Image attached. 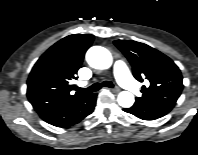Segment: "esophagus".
<instances>
[{
    "label": "esophagus",
    "instance_id": "obj_1",
    "mask_svg": "<svg viewBox=\"0 0 198 155\" xmlns=\"http://www.w3.org/2000/svg\"><path fill=\"white\" fill-rule=\"evenodd\" d=\"M112 91H113L114 93H118V92H120V88H119V87L113 88Z\"/></svg>",
    "mask_w": 198,
    "mask_h": 155
}]
</instances>
